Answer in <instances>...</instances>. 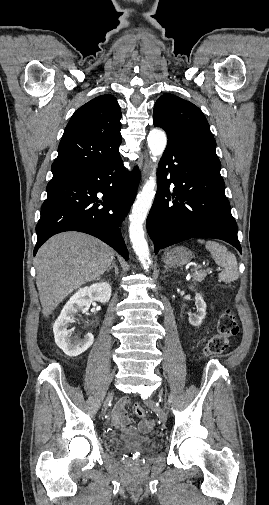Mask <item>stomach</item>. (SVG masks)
I'll list each match as a JSON object with an SVG mask.
<instances>
[{
  "mask_svg": "<svg viewBox=\"0 0 269 505\" xmlns=\"http://www.w3.org/2000/svg\"><path fill=\"white\" fill-rule=\"evenodd\" d=\"M191 259L192 252L184 246L171 249L164 255V262L170 267L187 264Z\"/></svg>",
  "mask_w": 269,
  "mask_h": 505,
  "instance_id": "0dacf381",
  "label": "stomach"
}]
</instances>
